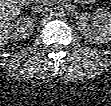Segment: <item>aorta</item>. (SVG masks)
Returning <instances> with one entry per match:
<instances>
[{"mask_svg":"<svg viewBox=\"0 0 111 106\" xmlns=\"http://www.w3.org/2000/svg\"><path fill=\"white\" fill-rule=\"evenodd\" d=\"M57 17H63L65 15L64 10L60 9L55 14Z\"/></svg>","mask_w":111,"mask_h":106,"instance_id":"1","label":"aorta"}]
</instances>
